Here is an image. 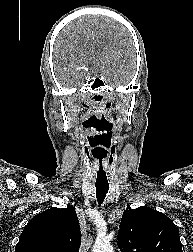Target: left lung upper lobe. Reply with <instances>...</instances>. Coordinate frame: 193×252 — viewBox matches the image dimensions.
Returning <instances> with one entry per match:
<instances>
[{"label":"left lung upper lobe","mask_w":193,"mask_h":252,"mask_svg":"<svg viewBox=\"0 0 193 252\" xmlns=\"http://www.w3.org/2000/svg\"><path fill=\"white\" fill-rule=\"evenodd\" d=\"M118 246L121 252H182L179 231L173 221L145 206L124 211Z\"/></svg>","instance_id":"1"}]
</instances>
